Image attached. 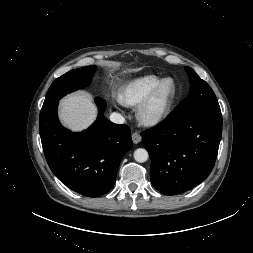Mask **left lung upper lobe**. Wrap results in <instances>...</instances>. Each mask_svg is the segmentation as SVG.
<instances>
[{
	"instance_id": "1",
	"label": "left lung upper lobe",
	"mask_w": 253,
	"mask_h": 253,
	"mask_svg": "<svg viewBox=\"0 0 253 253\" xmlns=\"http://www.w3.org/2000/svg\"><path fill=\"white\" fill-rule=\"evenodd\" d=\"M185 71L191 83L189 96L174 109L170 117L194 113L221 114L218 100L211 87L191 68L185 67Z\"/></svg>"
}]
</instances>
